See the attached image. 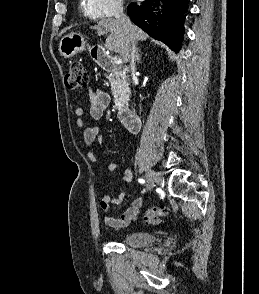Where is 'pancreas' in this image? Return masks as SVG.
Segmentation results:
<instances>
[{
	"label": "pancreas",
	"mask_w": 259,
	"mask_h": 294,
	"mask_svg": "<svg viewBox=\"0 0 259 294\" xmlns=\"http://www.w3.org/2000/svg\"><path fill=\"white\" fill-rule=\"evenodd\" d=\"M111 83V90L114 96L115 105L118 107L123 106L129 100L130 89L129 83L123 73L115 71L112 75L108 76Z\"/></svg>",
	"instance_id": "1"
}]
</instances>
